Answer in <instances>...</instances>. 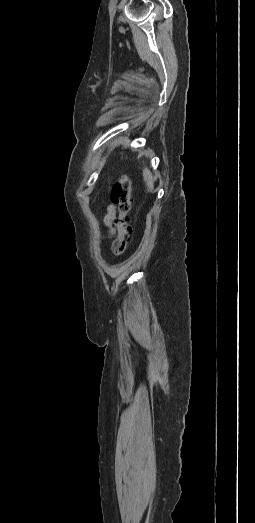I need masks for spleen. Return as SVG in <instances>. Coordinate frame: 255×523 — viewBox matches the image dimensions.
Returning a JSON list of instances; mask_svg holds the SVG:
<instances>
[{
	"instance_id": "obj_1",
	"label": "spleen",
	"mask_w": 255,
	"mask_h": 523,
	"mask_svg": "<svg viewBox=\"0 0 255 523\" xmlns=\"http://www.w3.org/2000/svg\"><path fill=\"white\" fill-rule=\"evenodd\" d=\"M143 176H144V180H145L150 192H152V190H154L153 176H152L151 172H149V170H147V168H145V170L143 172Z\"/></svg>"
}]
</instances>
